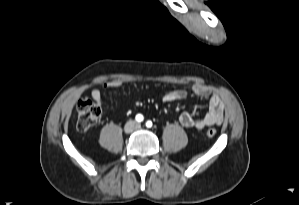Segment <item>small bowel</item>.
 <instances>
[{"instance_id":"obj_1","label":"small bowel","mask_w":299,"mask_h":205,"mask_svg":"<svg viewBox=\"0 0 299 205\" xmlns=\"http://www.w3.org/2000/svg\"><path fill=\"white\" fill-rule=\"evenodd\" d=\"M121 85V81L112 80L104 83L102 87L103 89H117ZM191 90L195 95L208 99V110L202 118H195L191 113L183 112L179 117L180 124L186 128L195 127L199 130L208 126L221 124L224 115V105L221 99L217 95L212 94L205 85L200 83L193 84ZM91 96L95 103L101 107L104 96L103 90L94 89L91 92ZM186 96L187 92L185 90L177 89L167 92L163 96V100L165 102H174L183 100L186 98Z\"/></svg>"}]
</instances>
